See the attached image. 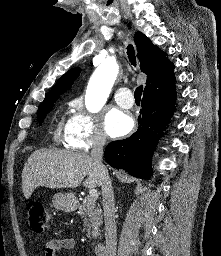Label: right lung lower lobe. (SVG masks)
<instances>
[{
	"label": "right lung lower lobe",
	"instance_id": "obj_1",
	"mask_svg": "<svg viewBox=\"0 0 221 256\" xmlns=\"http://www.w3.org/2000/svg\"><path fill=\"white\" fill-rule=\"evenodd\" d=\"M175 100V87L144 94L138 130L127 139L111 142L105 149L106 162L114 168L126 170L134 177L150 178L151 155L175 110Z\"/></svg>",
	"mask_w": 221,
	"mask_h": 256
}]
</instances>
